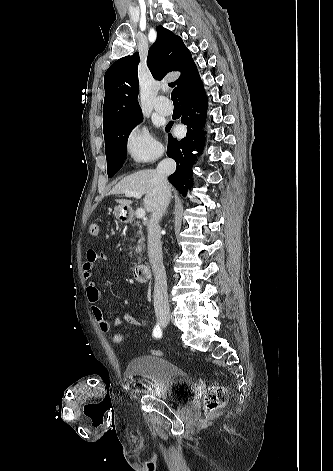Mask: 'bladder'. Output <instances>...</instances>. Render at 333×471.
I'll return each mask as SVG.
<instances>
[{
  "instance_id": "bladder-1",
  "label": "bladder",
  "mask_w": 333,
  "mask_h": 471,
  "mask_svg": "<svg viewBox=\"0 0 333 471\" xmlns=\"http://www.w3.org/2000/svg\"><path fill=\"white\" fill-rule=\"evenodd\" d=\"M126 374L150 382L151 393L168 404H178L191 397L195 382L190 374L175 363L155 355L131 359Z\"/></svg>"
}]
</instances>
